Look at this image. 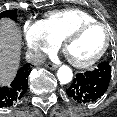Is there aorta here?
<instances>
[{"label": "aorta", "mask_w": 117, "mask_h": 117, "mask_svg": "<svg viewBox=\"0 0 117 117\" xmlns=\"http://www.w3.org/2000/svg\"><path fill=\"white\" fill-rule=\"evenodd\" d=\"M57 77H58V80L62 84H67V83L71 82V80L73 78L72 70L68 66H65V65L64 66H61L58 69Z\"/></svg>", "instance_id": "762f6f07"}]
</instances>
